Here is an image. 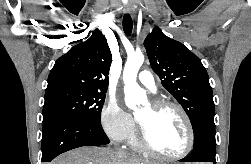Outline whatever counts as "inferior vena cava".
Masks as SVG:
<instances>
[{"label":"inferior vena cava","mask_w":251,"mask_h":164,"mask_svg":"<svg viewBox=\"0 0 251 164\" xmlns=\"http://www.w3.org/2000/svg\"><path fill=\"white\" fill-rule=\"evenodd\" d=\"M118 152H119L120 154H124V152H123L122 150H119Z\"/></svg>","instance_id":"obj_1"}]
</instances>
